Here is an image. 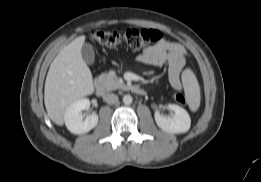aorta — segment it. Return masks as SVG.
I'll return each instance as SVG.
<instances>
[{"instance_id":"762f6f07","label":"aorta","mask_w":261,"mask_h":182,"mask_svg":"<svg viewBox=\"0 0 261 182\" xmlns=\"http://www.w3.org/2000/svg\"><path fill=\"white\" fill-rule=\"evenodd\" d=\"M132 101H133V98H132L131 95H124L123 96V103L125 105H130L132 103Z\"/></svg>"}]
</instances>
